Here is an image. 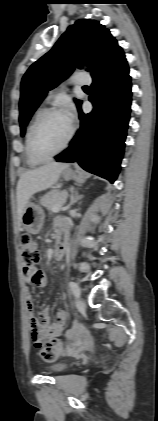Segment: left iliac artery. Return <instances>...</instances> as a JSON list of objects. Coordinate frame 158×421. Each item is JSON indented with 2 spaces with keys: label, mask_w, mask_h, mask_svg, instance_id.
Segmentation results:
<instances>
[{
  "label": "left iliac artery",
  "mask_w": 158,
  "mask_h": 421,
  "mask_svg": "<svg viewBox=\"0 0 158 421\" xmlns=\"http://www.w3.org/2000/svg\"><path fill=\"white\" fill-rule=\"evenodd\" d=\"M69 287L73 295L78 298L80 296V289L78 285L75 282L71 281L69 282Z\"/></svg>",
  "instance_id": "44dca946"
}]
</instances>
